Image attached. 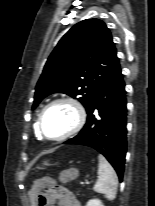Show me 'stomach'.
<instances>
[{
  "mask_svg": "<svg viewBox=\"0 0 155 206\" xmlns=\"http://www.w3.org/2000/svg\"><path fill=\"white\" fill-rule=\"evenodd\" d=\"M44 165H48V162H47V161H45V162H44Z\"/></svg>",
  "mask_w": 155,
  "mask_h": 206,
  "instance_id": "0dacf381",
  "label": "stomach"
}]
</instances>
